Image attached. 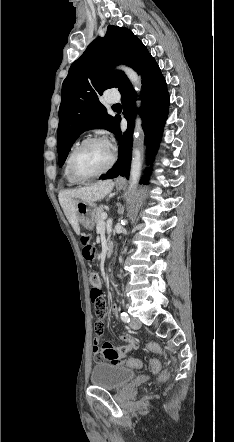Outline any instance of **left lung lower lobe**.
<instances>
[{
    "mask_svg": "<svg viewBox=\"0 0 234 442\" xmlns=\"http://www.w3.org/2000/svg\"><path fill=\"white\" fill-rule=\"evenodd\" d=\"M142 76V106L140 114L142 127L145 132V141L148 149L149 161L155 155L161 139L163 127L168 115L169 95L167 84L161 70L154 58L150 55L144 63L140 72ZM123 114L128 121V128L122 134L120 126L116 135L119 143V157L116 164L100 179H111L119 175L129 178L134 119L136 115L135 97L136 93L131 84L120 90ZM121 118H118V125ZM147 183V181H144Z\"/></svg>",
    "mask_w": 234,
    "mask_h": 442,
    "instance_id": "obj_1",
    "label": "left lung lower lobe"
}]
</instances>
